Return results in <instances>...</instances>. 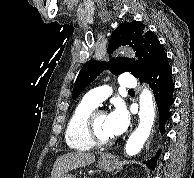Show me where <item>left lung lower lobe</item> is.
Listing matches in <instances>:
<instances>
[{
	"instance_id": "left-lung-lower-lobe-1",
	"label": "left lung lower lobe",
	"mask_w": 194,
	"mask_h": 178,
	"mask_svg": "<svg viewBox=\"0 0 194 178\" xmlns=\"http://www.w3.org/2000/svg\"><path fill=\"white\" fill-rule=\"evenodd\" d=\"M141 82H147L153 90L156 103L159 110L161 130H164V124L169 119V109L173 103L174 83L172 81V71L168 63L167 55L156 65V67ZM158 151L155 158L148 161L147 165L154 167L155 161L159 156Z\"/></svg>"
}]
</instances>
